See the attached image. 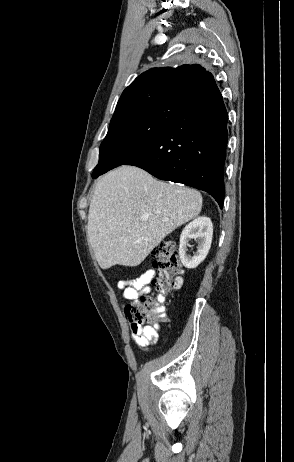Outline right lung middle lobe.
Masks as SVG:
<instances>
[{"mask_svg":"<svg viewBox=\"0 0 294 462\" xmlns=\"http://www.w3.org/2000/svg\"><path fill=\"white\" fill-rule=\"evenodd\" d=\"M186 105L180 93H169L135 103L115 112L100 146L93 175L122 165L142 145L168 126Z\"/></svg>","mask_w":294,"mask_h":462,"instance_id":"dd1d6c3e","label":"right lung middle lobe"}]
</instances>
